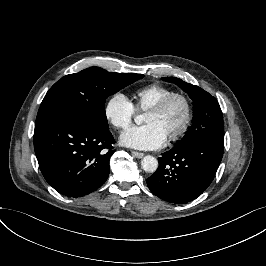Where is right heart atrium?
<instances>
[{
  "mask_svg": "<svg viewBox=\"0 0 266 266\" xmlns=\"http://www.w3.org/2000/svg\"><path fill=\"white\" fill-rule=\"evenodd\" d=\"M137 113L134 103L123 93L110 95L104 105V116L117 129L128 128Z\"/></svg>",
  "mask_w": 266,
  "mask_h": 266,
  "instance_id": "right-heart-atrium-1",
  "label": "right heart atrium"
}]
</instances>
